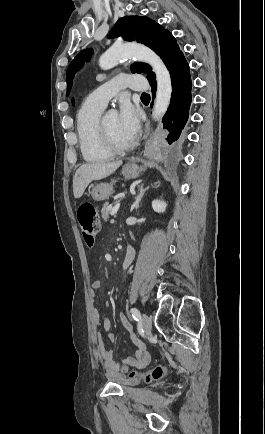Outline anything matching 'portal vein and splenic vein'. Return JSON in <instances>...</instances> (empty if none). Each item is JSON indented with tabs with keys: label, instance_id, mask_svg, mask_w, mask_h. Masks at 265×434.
Returning a JSON list of instances; mask_svg holds the SVG:
<instances>
[{
	"label": "portal vein and splenic vein",
	"instance_id": "portal-vein-and-splenic-vein-1",
	"mask_svg": "<svg viewBox=\"0 0 265 434\" xmlns=\"http://www.w3.org/2000/svg\"><path fill=\"white\" fill-rule=\"evenodd\" d=\"M119 208H120V204H116V206H114V208H112V210H111V216H114V214H117Z\"/></svg>",
	"mask_w": 265,
	"mask_h": 434
}]
</instances>
